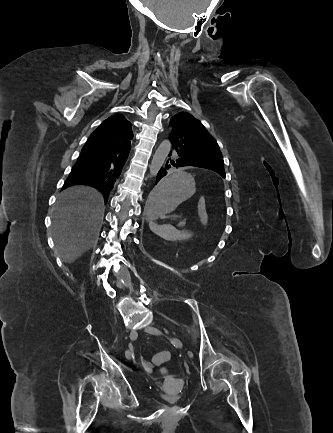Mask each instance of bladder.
<instances>
[{"instance_id": "1", "label": "bladder", "mask_w": 333, "mask_h": 433, "mask_svg": "<svg viewBox=\"0 0 333 433\" xmlns=\"http://www.w3.org/2000/svg\"><path fill=\"white\" fill-rule=\"evenodd\" d=\"M161 397L167 402L174 403L181 400L183 398V394L163 392L161 393Z\"/></svg>"}]
</instances>
